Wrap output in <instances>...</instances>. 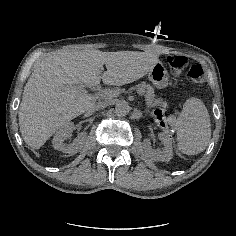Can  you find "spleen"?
Here are the masks:
<instances>
[{
    "instance_id": "3e777b00",
    "label": "spleen",
    "mask_w": 236,
    "mask_h": 236,
    "mask_svg": "<svg viewBox=\"0 0 236 236\" xmlns=\"http://www.w3.org/2000/svg\"><path fill=\"white\" fill-rule=\"evenodd\" d=\"M211 138L210 116L204 103L190 99L176 123L178 150L186 155H196L204 151Z\"/></svg>"
}]
</instances>
